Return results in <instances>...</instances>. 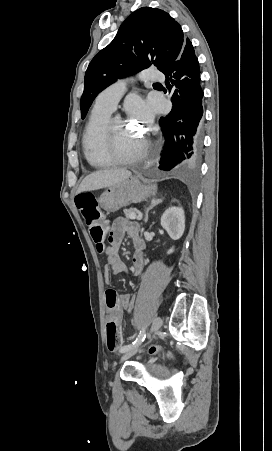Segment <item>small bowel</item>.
<instances>
[{
  "label": "small bowel",
  "mask_w": 272,
  "mask_h": 451,
  "mask_svg": "<svg viewBox=\"0 0 272 451\" xmlns=\"http://www.w3.org/2000/svg\"><path fill=\"white\" fill-rule=\"evenodd\" d=\"M140 226L137 222L124 218L116 219L109 227V244L105 247L106 267L104 271L105 283L111 282V272L115 274L127 272V266L122 260L119 247L126 235L130 236L136 252L132 257L133 276H138L146 266V256L144 253V243L139 235ZM105 305L107 316L112 317L117 323H122L123 313L133 310V298L128 294H118L115 290H107L105 294ZM120 333V327H119Z\"/></svg>",
  "instance_id": "small-bowel-1"
}]
</instances>
